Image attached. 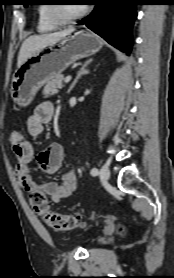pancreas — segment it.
<instances>
[{
	"instance_id": "cf45deb5",
	"label": "pancreas",
	"mask_w": 174,
	"mask_h": 278,
	"mask_svg": "<svg viewBox=\"0 0 174 278\" xmlns=\"http://www.w3.org/2000/svg\"><path fill=\"white\" fill-rule=\"evenodd\" d=\"M64 80V76L63 75H57L54 78H52L51 80H49L46 84V86L43 89V95L45 97H49L52 95H55L56 93H58L59 89H62L63 87V82Z\"/></svg>"
}]
</instances>
